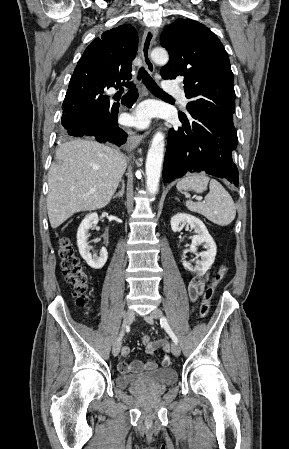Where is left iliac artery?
I'll return each instance as SVG.
<instances>
[{"label":"left iliac artery","instance_id":"left-iliac-artery-1","mask_svg":"<svg viewBox=\"0 0 289 449\" xmlns=\"http://www.w3.org/2000/svg\"><path fill=\"white\" fill-rule=\"evenodd\" d=\"M160 324L162 325V327H164V329L166 330V332L168 333V335L172 338V340L175 342V343H178V338L176 337V335L173 333V331L171 330V328H170V326H169V324H168V322H167V319L165 318V317H162L161 319H160Z\"/></svg>","mask_w":289,"mask_h":449}]
</instances>
